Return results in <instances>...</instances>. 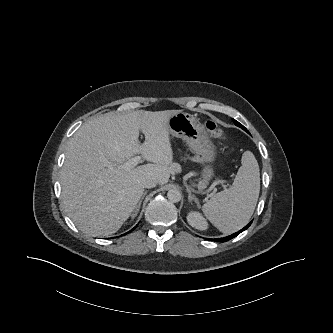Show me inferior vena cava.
<instances>
[{"instance_id":"1","label":"inferior vena cava","mask_w":333,"mask_h":333,"mask_svg":"<svg viewBox=\"0 0 333 333\" xmlns=\"http://www.w3.org/2000/svg\"><path fill=\"white\" fill-rule=\"evenodd\" d=\"M158 184V181L154 178H149L144 182L145 188H153Z\"/></svg>"}]
</instances>
